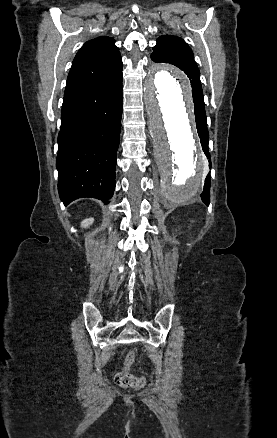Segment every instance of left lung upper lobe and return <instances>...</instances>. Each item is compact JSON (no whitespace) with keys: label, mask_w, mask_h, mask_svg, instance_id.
<instances>
[{"label":"left lung upper lobe","mask_w":277,"mask_h":438,"mask_svg":"<svg viewBox=\"0 0 277 438\" xmlns=\"http://www.w3.org/2000/svg\"><path fill=\"white\" fill-rule=\"evenodd\" d=\"M151 59L157 63L173 64L183 70L191 82L194 111L205 113L200 73L188 44L180 37L163 35L157 39Z\"/></svg>","instance_id":"obj_1"}]
</instances>
